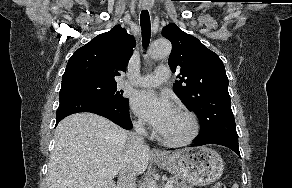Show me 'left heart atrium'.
Returning a JSON list of instances; mask_svg holds the SVG:
<instances>
[{
    "label": "left heart atrium",
    "mask_w": 292,
    "mask_h": 188,
    "mask_svg": "<svg viewBox=\"0 0 292 188\" xmlns=\"http://www.w3.org/2000/svg\"><path fill=\"white\" fill-rule=\"evenodd\" d=\"M132 107L136 114L162 133L175 112V108L165 95L152 90H142L135 94Z\"/></svg>",
    "instance_id": "1"
}]
</instances>
